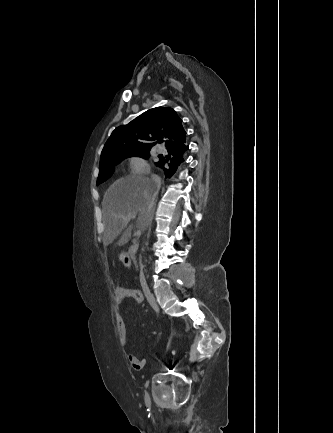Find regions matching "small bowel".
I'll list each match as a JSON object with an SVG mask.
<instances>
[{
	"instance_id": "1",
	"label": "small bowel",
	"mask_w": 333,
	"mask_h": 433,
	"mask_svg": "<svg viewBox=\"0 0 333 433\" xmlns=\"http://www.w3.org/2000/svg\"><path fill=\"white\" fill-rule=\"evenodd\" d=\"M116 301L120 304L125 299H134L137 302H142L144 294L141 290L135 288H123L119 287L115 290ZM120 343L127 350V358L132 367L136 370H140L144 365V359L137 357L133 352L128 351L129 337L127 333L126 324L122 315H120L117 322Z\"/></svg>"
}]
</instances>
